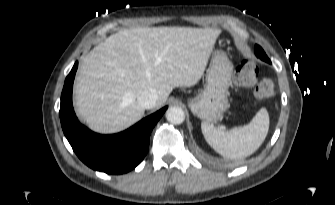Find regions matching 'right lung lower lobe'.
<instances>
[{"instance_id": "98d812e1", "label": "right lung lower lobe", "mask_w": 335, "mask_h": 205, "mask_svg": "<svg viewBox=\"0 0 335 205\" xmlns=\"http://www.w3.org/2000/svg\"><path fill=\"white\" fill-rule=\"evenodd\" d=\"M78 62L65 79L61 94L60 120L63 132L76 155L90 168L107 174H122L135 168L149 149V138L167 106L128 130L100 135L79 123L72 106V87Z\"/></svg>"}]
</instances>
